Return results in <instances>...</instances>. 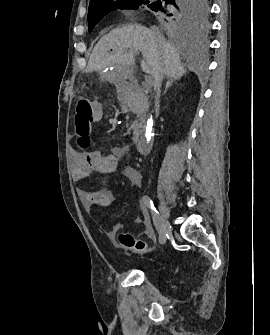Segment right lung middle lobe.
I'll return each instance as SVG.
<instances>
[{"mask_svg": "<svg viewBox=\"0 0 270 335\" xmlns=\"http://www.w3.org/2000/svg\"><path fill=\"white\" fill-rule=\"evenodd\" d=\"M208 1L209 0H168V2H165L164 7H162L160 0H157V2L148 0H119L97 7H89L88 30L91 31L105 15L115 9H137L142 4L158 12L159 19L166 26L173 29L192 30L205 25L209 6Z\"/></svg>", "mask_w": 270, "mask_h": 335, "instance_id": "obj_1", "label": "right lung middle lobe"}]
</instances>
